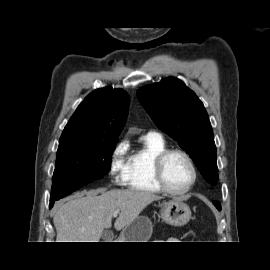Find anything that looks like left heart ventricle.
<instances>
[{"label":"left heart ventricle","instance_id":"left-heart-ventricle-1","mask_svg":"<svg viewBox=\"0 0 270 270\" xmlns=\"http://www.w3.org/2000/svg\"><path fill=\"white\" fill-rule=\"evenodd\" d=\"M164 176L173 189H183L192 180V171L187 160L180 154L170 155L164 163Z\"/></svg>","mask_w":270,"mask_h":270}]
</instances>
